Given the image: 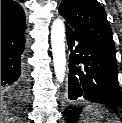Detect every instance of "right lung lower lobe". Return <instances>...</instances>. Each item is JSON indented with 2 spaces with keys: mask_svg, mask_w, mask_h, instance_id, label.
Returning a JSON list of instances; mask_svg holds the SVG:
<instances>
[{
  "mask_svg": "<svg viewBox=\"0 0 122 123\" xmlns=\"http://www.w3.org/2000/svg\"><path fill=\"white\" fill-rule=\"evenodd\" d=\"M26 56L25 28L1 27V96L11 94L19 103L27 94Z\"/></svg>",
  "mask_w": 122,
  "mask_h": 123,
  "instance_id": "1",
  "label": "right lung lower lobe"
}]
</instances>
